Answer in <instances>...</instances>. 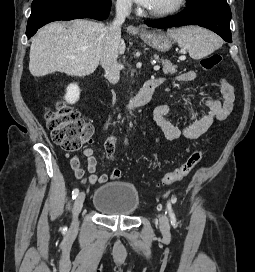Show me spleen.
<instances>
[{
  "instance_id": "obj_1",
  "label": "spleen",
  "mask_w": 255,
  "mask_h": 272,
  "mask_svg": "<svg viewBox=\"0 0 255 272\" xmlns=\"http://www.w3.org/2000/svg\"><path fill=\"white\" fill-rule=\"evenodd\" d=\"M167 33L180 47L186 48L193 59H201L222 46L214 33L197 26L171 29Z\"/></svg>"
}]
</instances>
